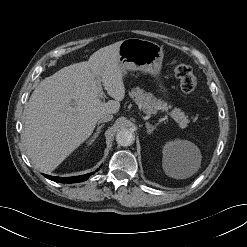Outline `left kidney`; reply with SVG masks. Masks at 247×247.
<instances>
[{
    "label": "left kidney",
    "instance_id": "obj_1",
    "mask_svg": "<svg viewBox=\"0 0 247 247\" xmlns=\"http://www.w3.org/2000/svg\"><path fill=\"white\" fill-rule=\"evenodd\" d=\"M196 146L187 140H175L167 142L163 147V164H177L179 159H188L196 152Z\"/></svg>",
    "mask_w": 247,
    "mask_h": 247
}]
</instances>
